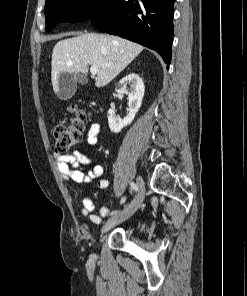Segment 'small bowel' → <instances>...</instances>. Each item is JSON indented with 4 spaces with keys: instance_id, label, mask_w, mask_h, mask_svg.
<instances>
[{
    "instance_id": "obj_1",
    "label": "small bowel",
    "mask_w": 247,
    "mask_h": 296,
    "mask_svg": "<svg viewBox=\"0 0 247 296\" xmlns=\"http://www.w3.org/2000/svg\"><path fill=\"white\" fill-rule=\"evenodd\" d=\"M101 132V125L99 123H93L88 130V142L91 145L98 143V138ZM54 158L57 163V168L61 177L65 181H73L76 184L84 185L91 184L98 179L97 188L105 190L109 186V180L102 178L104 168L102 165L94 164L92 158L84 155L79 151H73L67 154H55ZM92 166L90 170L85 171L84 167ZM126 202V196L122 195L120 203ZM95 210V204L90 195H86L82 201V208L80 214L84 217H88L94 224L102 222L104 217L110 214V210L107 207L100 209V215L93 214Z\"/></svg>"
}]
</instances>
